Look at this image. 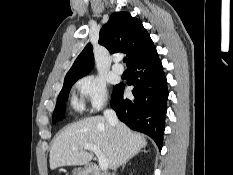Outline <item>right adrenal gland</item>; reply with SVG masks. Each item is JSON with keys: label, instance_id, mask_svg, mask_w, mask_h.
Listing matches in <instances>:
<instances>
[{"label": "right adrenal gland", "instance_id": "2a0ac1e0", "mask_svg": "<svg viewBox=\"0 0 233 175\" xmlns=\"http://www.w3.org/2000/svg\"><path fill=\"white\" fill-rule=\"evenodd\" d=\"M143 152H146V151H145V150H143ZM131 158H132V157H130L127 161H129ZM127 161L123 164V166H122V170H124V167H125V165H126Z\"/></svg>", "mask_w": 233, "mask_h": 175}]
</instances>
